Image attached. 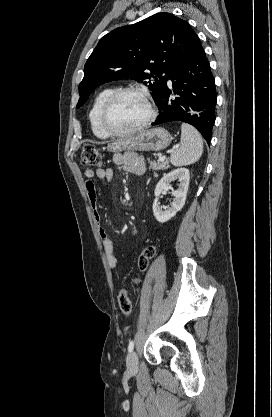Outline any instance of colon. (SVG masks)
Here are the masks:
<instances>
[{"label":"colon","mask_w":272,"mask_h":417,"mask_svg":"<svg viewBox=\"0 0 272 417\" xmlns=\"http://www.w3.org/2000/svg\"><path fill=\"white\" fill-rule=\"evenodd\" d=\"M80 159L81 163L85 166L97 167L100 166L102 163L101 155L98 149L91 144H87L84 146L81 152ZM111 250L113 252V244H111ZM157 250L158 248L156 245H150L147 248H145L138 260V266L141 271L147 270L150 260L156 255ZM139 282V278L134 279L132 284L133 290L136 289ZM117 301L121 312L126 316L130 315L132 311L130 289H121L117 296Z\"/></svg>","instance_id":"5ec220e1"}]
</instances>
